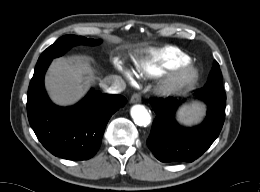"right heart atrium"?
Returning a JSON list of instances; mask_svg holds the SVG:
<instances>
[{
  "mask_svg": "<svg viewBox=\"0 0 260 192\" xmlns=\"http://www.w3.org/2000/svg\"><path fill=\"white\" fill-rule=\"evenodd\" d=\"M117 68L124 74V76L128 79L132 78V74L130 71L124 69L119 63H117Z\"/></svg>",
  "mask_w": 260,
  "mask_h": 192,
  "instance_id": "obj_1",
  "label": "right heart atrium"
}]
</instances>
